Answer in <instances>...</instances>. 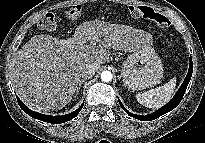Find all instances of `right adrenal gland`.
<instances>
[{
  "mask_svg": "<svg viewBox=\"0 0 205 143\" xmlns=\"http://www.w3.org/2000/svg\"><path fill=\"white\" fill-rule=\"evenodd\" d=\"M84 82H85V80H84V79H82V80L80 81L79 86H78V88H77V91H76V93H75V96H74V97H76V96L78 95L79 90H80V87H81V85H82Z\"/></svg>",
  "mask_w": 205,
  "mask_h": 143,
  "instance_id": "obj_1",
  "label": "right adrenal gland"
}]
</instances>
